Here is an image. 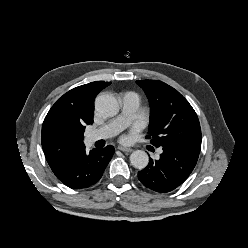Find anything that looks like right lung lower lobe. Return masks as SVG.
<instances>
[{
    "instance_id": "obj_1",
    "label": "right lung lower lobe",
    "mask_w": 248,
    "mask_h": 248,
    "mask_svg": "<svg viewBox=\"0 0 248 248\" xmlns=\"http://www.w3.org/2000/svg\"><path fill=\"white\" fill-rule=\"evenodd\" d=\"M114 152V147L110 145L104 149H94L90 153H86L84 147L54 171V174L70 188H87L100 180Z\"/></svg>"
}]
</instances>
